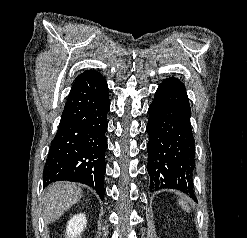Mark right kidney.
<instances>
[{
    "instance_id": "obj_1",
    "label": "right kidney",
    "mask_w": 247,
    "mask_h": 238,
    "mask_svg": "<svg viewBox=\"0 0 247 238\" xmlns=\"http://www.w3.org/2000/svg\"><path fill=\"white\" fill-rule=\"evenodd\" d=\"M86 223L84 214L74 215L67 223L66 238H77L86 227Z\"/></svg>"
}]
</instances>
